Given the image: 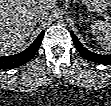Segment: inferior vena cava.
<instances>
[{
  "label": "inferior vena cava",
  "mask_w": 111,
  "mask_h": 106,
  "mask_svg": "<svg viewBox=\"0 0 111 106\" xmlns=\"http://www.w3.org/2000/svg\"><path fill=\"white\" fill-rule=\"evenodd\" d=\"M47 15H48V12H46L45 10L38 9L36 11V15L35 16H36V19L38 21H42V20H44L47 17Z\"/></svg>",
  "instance_id": "602c4592"
}]
</instances>
